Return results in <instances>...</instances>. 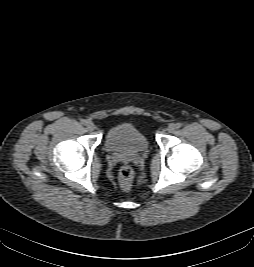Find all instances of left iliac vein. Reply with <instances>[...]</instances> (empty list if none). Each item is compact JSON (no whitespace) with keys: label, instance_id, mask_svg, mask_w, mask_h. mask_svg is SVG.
<instances>
[{"label":"left iliac vein","instance_id":"left-iliac-vein-1","mask_svg":"<svg viewBox=\"0 0 254 267\" xmlns=\"http://www.w3.org/2000/svg\"><path fill=\"white\" fill-rule=\"evenodd\" d=\"M175 129H176V125H175V124H170V125L167 127V131H168L169 133L174 132Z\"/></svg>","mask_w":254,"mask_h":267}]
</instances>
